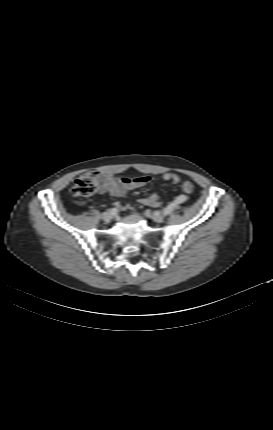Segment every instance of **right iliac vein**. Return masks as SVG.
Here are the masks:
<instances>
[{"instance_id":"63e3f726","label":"right iliac vein","mask_w":273,"mask_h":430,"mask_svg":"<svg viewBox=\"0 0 273 430\" xmlns=\"http://www.w3.org/2000/svg\"><path fill=\"white\" fill-rule=\"evenodd\" d=\"M114 217V214L112 213L111 210L106 211L104 213H102L101 218L105 221V222H109L112 218Z\"/></svg>"}]
</instances>
